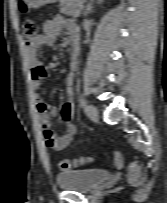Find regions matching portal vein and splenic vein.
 Masks as SVG:
<instances>
[{
    "mask_svg": "<svg viewBox=\"0 0 167 203\" xmlns=\"http://www.w3.org/2000/svg\"><path fill=\"white\" fill-rule=\"evenodd\" d=\"M82 10V8L79 10V11H77L76 13H75V17H78L79 15H80V11Z\"/></svg>",
    "mask_w": 167,
    "mask_h": 203,
    "instance_id": "obj_1",
    "label": "portal vein and splenic vein"
}]
</instances>
